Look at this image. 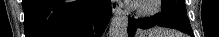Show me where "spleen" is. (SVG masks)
<instances>
[{"label": "spleen", "mask_w": 219, "mask_h": 37, "mask_svg": "<svg viewBox=\"0 0 219 37\" xmlns=\"http://www.w3.org/2000/svg\"><path fill=\"white\" fill-rule=\"evenodd\" d=\"M158 37H182V36H174L171 35L170 33H165V31H157Z\"/></svg>", "instance_id": "obj_1"}]
</instances>
